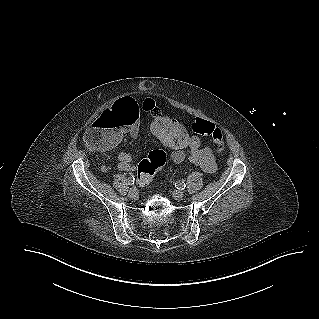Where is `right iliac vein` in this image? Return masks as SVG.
I'll use <instances>...</instances> for the list:
<instances>
[{
  "label": "right iliac vein",
  "instance_id": "63e3f726",
  "mask_svg": "<svg viewBox=\"0 0 319 319\" xmlns=\"http://www.w3.org/2000/svg\"><path fill=\"white\" fill-rule=\"evenodd\" d=\"M128 196L132 199H135L138 196V190L137 188L133 187L129 190Z\"/></svg>",
  "mask_w": 319,
  "mask_h": 319
}]
</instances>
